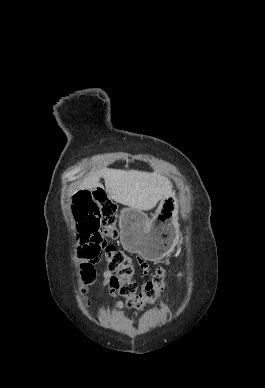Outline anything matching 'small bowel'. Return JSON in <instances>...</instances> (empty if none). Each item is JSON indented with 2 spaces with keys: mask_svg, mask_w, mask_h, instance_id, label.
<instances>
[{
  "mask_svg": "<svg viewBox=\"0 0 265 388\" xmlns=\"http://www.w3.org/2000/svg\"><path fill=\"white\" fill-rule=\"evenodd\" d=\"M138 264H139V267L142 270L143 274L146 275L148 273V264L144 260H141V259H139ZM103 276L105 279L103 287L106 288L110 294L115 295L116 290H115L113 283H112V273L109 270H106V271H104ZM178 276L181 278L182 273H179ZM117 307L119 309H122L123 303L121 301H118ZM106 324L114 326L119 331H124L127 329L126 321L121 319V318H117V319L110 320V321L106 320Z\"/></svg>",
  "mask_w": 265,
  "mask_h": 388,
  "instance_id": "1",
  "label": "small bowel"
}]
</instances>
